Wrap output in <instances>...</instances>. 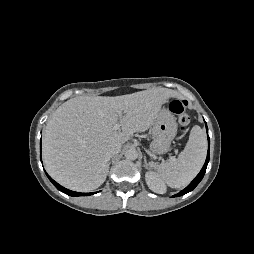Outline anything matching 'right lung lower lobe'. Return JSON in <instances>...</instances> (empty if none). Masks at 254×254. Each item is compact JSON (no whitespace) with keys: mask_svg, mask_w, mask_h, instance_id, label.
Returning <instances> with one entry per match:
<instances>
[{"mask_svg":"<svg viewBox=\"0 0 254 254\" xmlns=\"http://www.w3.org/2000/svg\"><path fill=\"white\" fill-rule=\"evenodd\" d=\"M41 145V143H40ZM46 173V172H45ZM47 177L49 178V180L53 183V185L58 189L60 190L61 192L69 195V196H87V195H92V194H95L97 192H94V193H79V192H74V191H71V190H68L64 187H62L61 185H59L57 182H55L47 173H46Z\"/></svg>","mask_w":254,"mask_h":254,"instance_id":"right-lung-lower-lobe-1","label":"right lung lower lobe"}]
</instances>
